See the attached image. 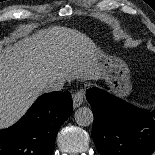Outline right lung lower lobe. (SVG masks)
Here are the masks:
<instances>
[{
  "mask_svg": "<svg viewBox=\"0 0 155 155\" xmlns=\"http://www.w3.org/2000/svg\"><path fill=\"white\" fill-rule=\"evenodd\" d=\"M72 107L68 91L40 96L16 124L0 130V155H51L57 132Z\"/></svg>",
  "mask_w": 155,
  "mask_h": 155,
  "instance_id": "obj_1",
  "label": "right lung lower lobe"
}]
</instances>
